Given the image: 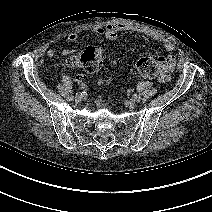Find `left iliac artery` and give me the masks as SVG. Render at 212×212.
Listing matches in <instances>:
<instances>
[{"label":"left iliac artery","instance_id":"obj_1","mask_svg":"<svg viewBox=\"0 0 212 212\" xmlns=\"http://www.w3.org/2000/svg\"><path fill=\"white\" fill-rule=\"evenodd\" d=\"M134 99L137 101V102H140L141 101V97L137 94H134L133 95Z\"/></svg>","mask_w":212,"mask_h":212}]
</instances>
